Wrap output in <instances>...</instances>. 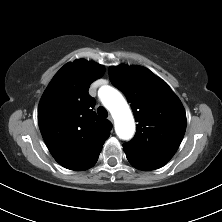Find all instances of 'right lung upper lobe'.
<instances>
[{"mask_svg": "<svg viewBox=\"0 0 222 222\" xmlns=\"http://www.w3.org/2000/svg\"><path fill=\"white\" fill-rule=\"evenodd\" d=\"M104 67L83 59L64 65L46 88L38 108V123L55 160L70 170H86L98 160L112 124L93 111L90 84Z\"/></svg>", "mask_w": 222, "mask_h": 222, "instance_id": "right-lung-upper-lobe-1", "label": "right lung upper lobe"}]
</instances>
